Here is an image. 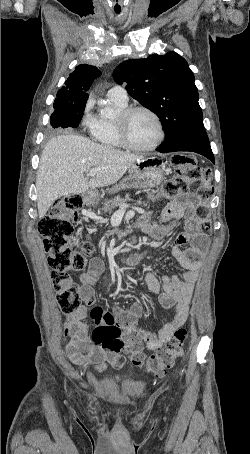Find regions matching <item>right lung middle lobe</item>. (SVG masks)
Here are the masks:
<instances>
[{
    "label": "right lung middle lobe",
    "instance_id": "obj_1",
    "mask_svg": "<svg viewBox=\"0 0 250 454\" xmlns=\"http://www.w3.org/2000/svg\"><path fill=\"white\" fill-rule=\"evenodd\" d=\"M86 102L70 103L55 100L53 104L55 110L50 118L51 126L53 128H77L83 116Z\"/></svg>",
    "mask_w": 250,
    "mask_h": 454
}]
</instances>
